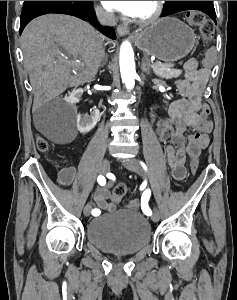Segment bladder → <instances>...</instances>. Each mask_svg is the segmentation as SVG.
Returning <instances> with one entry per match:
<instances>
[{
    "label": "bladder",
    "instance_id": "obj_1",
    "mask_svg": "<svg viewBox=\"0 0 237 300\" xmlns=\"http://www.w3.org/2000/svg\"><path fill=\"white\" fill-rule=\"evenodd\" d=\"M87 241L100 251L132 255L151 240V225L138 211L123 209L93 218L86 228Z\"/></svg>",
    "mask_w": 237,
    "mask_h": 300
}]
</instances>
